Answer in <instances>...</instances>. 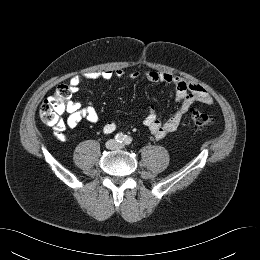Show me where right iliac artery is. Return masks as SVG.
I'll return each mask as SVG.
<instances>
[{"label":"right iliac artery","instance_id":"1","mask_svg":"<svg viewBox=\"0 0 260 260\" xmlns=\"http://www.w3.org/2000/svg\"><path fill=\"white\" fill-rule=\"evenodd\" d=\"M124 139H125V136H124L122 133H118V134H116V136H115V140H116L118 143L124 142Z\"/></svg>","mask_w":260,"mask_h":260}]
</instances>
